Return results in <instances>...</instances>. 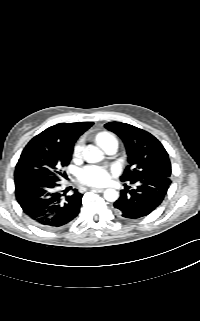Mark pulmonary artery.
<instances>
[{"label": "pulmonary artery", "mask_w": 200, "mask_h": 321, "mask_svg": "<svg viewBox=\"0 0 200 321\" xmlns=\"http://www.w3.org/2000/svg\"><path fill=\"white\" fill-rule=\"evenodd\" d=\"M114 148H115V145H111V146L108 147V150L112 151V150H114Z\"/></svg>", "instance_id": "e3ab8cb5"}]
</instances>
